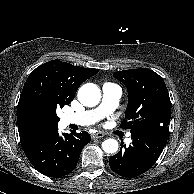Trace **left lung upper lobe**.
<instances>
[{
    "label": "left lung upper lobe",
    "instance_id": "obj_1",
    "mask_svg": "<svg viewBox=\"0 0 194 194\" xmlns=\"http://www.w3.org/2000/svg\"><path fill=\"white\" fill-rule=\"evenodd\" d=\"M114 77L126 85V120L120 125L130 132L137 128L169 131L171 102L163 78L147 68L123 70Z\"/></svg>",
    "mask_w": 194,
    "mask_h": 194
}]
</instances>
